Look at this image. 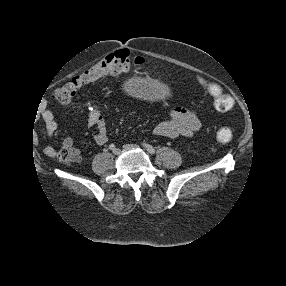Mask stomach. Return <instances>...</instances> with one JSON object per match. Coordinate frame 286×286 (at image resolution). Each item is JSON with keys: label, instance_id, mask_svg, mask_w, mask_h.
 Here are the masks:
<instances>
[{"label": "stomach", "instance_id": "stomach-1", "mask_svg": "<svg viewBox=\"0 0 286 286\" xmlns=\"http://www.w3.org/2000/svg\"><path fill=\"white\" fill-rule=\"evenodd\" d=\"M128 96L136 101L146 100L148 103L158 105L163 103L168 95L166 85L158 80L149 81L142 76L131 78L126 86Z\"/></svg>", "mask_w": 286, "mask_h": 286}]
</instances>
